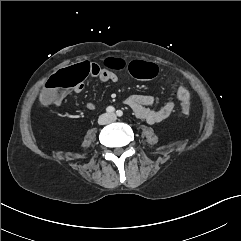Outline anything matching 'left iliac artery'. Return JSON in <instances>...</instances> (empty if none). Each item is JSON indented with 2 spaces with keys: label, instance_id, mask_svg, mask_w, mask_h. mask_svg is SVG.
<instances>
[{
  "label": "left iliac artery",
  "instance_id": "left-iliac-artery-1",
  "mask_svg": "<svg viewBox=\"0 0 241 241\" xmlns=\"http://www.w3.org/2000/svg\"><path fill=\"white\" fill-rule=\"evenodd\" d=\"M116 114L117 116L121 117L123 115V112L121 110H117Z\"/></svg>",
  "mask_w": 241,
  "mask_h": 241
}]
</instances>
